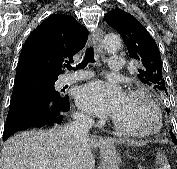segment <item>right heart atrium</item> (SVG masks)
<instances>
[{"label":"right heart atrium","mask_w":177,"mask_h":169,"mask_svg":"<svg viewBox=\"0 0 177 169\" xmlns=\"http://www.w3.org/2000/svg\"><path fill=\"white\" fill-rule=\"evenodd\" d=\"M76 117H77L78 120H83V121L89 120L88 116H86L84 114H77Z\"/></svg>","instance_id":"obj_1"}]
</instances>
